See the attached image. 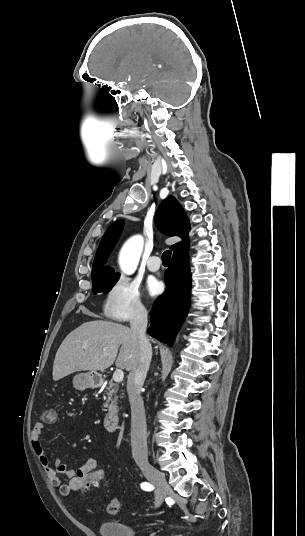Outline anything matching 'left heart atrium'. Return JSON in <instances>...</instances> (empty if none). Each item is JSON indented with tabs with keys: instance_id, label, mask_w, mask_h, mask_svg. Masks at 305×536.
<instances>
[{
	"instance_id": "obj_1",
	"label": "left heart atrium",
	"mask_w": 305,
	"mask_h": 536,
	"mask_svg": "<svg viewBox=\"0 0 305 536\" xmlns=\"http://www.w3.org/2000/svg\"><path fill=\"white\" fill-rule=\"evenodd\" d=\"M147 291L151 296H156L162 291V283L155 278H149L146 285Z\"/></svg>"
}]
</instances>
